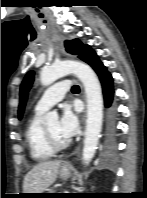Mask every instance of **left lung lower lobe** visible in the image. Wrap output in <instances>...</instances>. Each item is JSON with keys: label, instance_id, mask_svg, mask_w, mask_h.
Segmentation results:
<instances>
[{"label": "left lung lower lobe", "instance_id": "0a47b994", "mask_svg": "<svg viewBox=\"0 0 147 198\" xmlns=\"http://www.w3.org/2000/svg\"><path fill=\"white\" fill-rule=\"evenodd\" d=\"M83 61L88 63L97 73L102 84L105 106L110 109L109 114V152L115 151V108L112 106L113 100V79L106 67L99 60L97 54L89 47Z\"/></svg>", "mask_w": 147, "mask_h": 198}]
</instances>
